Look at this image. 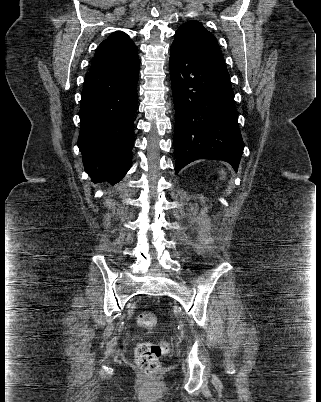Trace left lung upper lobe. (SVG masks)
<instances>
[{"label": "left lung upper lobe", "instance_id": "1", "mask_svg": "<svg viewBox=\"0 0 321 402\" xmlns=\"http://www.w3.org/2000/svg\"><path fill=\"white\" fill-rule=\"evenodd\" d=\"M173 44L196 54L223 60L216 38L198 21L182 24L175 33Z\"/></svg>", "mask_w": 321, "mask_h": 402}]
</instances>
